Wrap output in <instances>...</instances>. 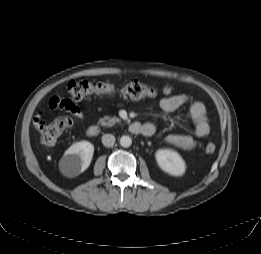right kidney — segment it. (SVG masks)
I'll use <instances>...</instances> for the list:
<instances>
[{
    "label": "right kidney",
    "mask_w": 261,
    "mask_h": 254,
    "mask_svg": "<svg viewBox=\"0 0 261 254\" xmlns=\"http://www.w3.org/2000/svg\"><path fill=\"white\" fill-rule=\"evenodd\" d=\"M94 154V146L88 141L72 144L65 152L61 164L67 176H76L86 170Z\"/></svg>",
    "instance_id": "right-kidney-1"
}]
</instances>
